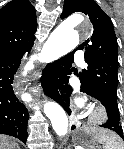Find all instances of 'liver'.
I'll list each match as a JSON object with an SVG mask.
<instances>
[{"label":"liver","instance_id":"obj_1","mask_svg":"<svg viewBox=\"0 0 124 149\" xmlns=\"http://www.w3.org/2000/svg\"><path fill=\"white\" fill-rule=\"evenodd\" d=\"M0 149H19V146L14 139L0 135Z\"/></svg>","mask_w":124,"mask_h":149}]
</instances>
